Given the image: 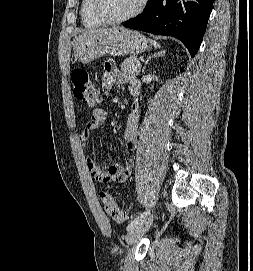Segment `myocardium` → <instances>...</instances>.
Returning a JSON list of instances; mask_svg holds the SVG:
<instances>
[{"label":"myocardium","mask_w":253,"mask_h":271,"mask_svg":"<svg viewBox=\"0 0 253 271\" xmlns=\"http://www.w3.org/2000/svg\"><path fill=\"white\" fill-rule=\"evenodd\" d=\"M102 2V0H93V11L95 16L104 24L115 25L126 22L140 15L144 10L148 0H140L139 4L132 12L119 18L109 17L103 10Z\"/></svg>","instance_id":"obj_1"}]
</instances>
